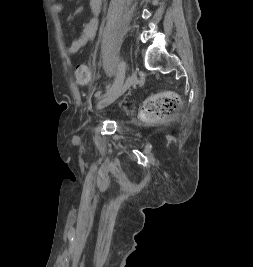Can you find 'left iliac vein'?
I'll return each mask as SVG.
<instances>
[{
    "instance_id": "4c4485c4",
    "label": "left iliac vein",
    "mask_w": 253,
    "mask_h": 267,
    "mask_svg": "<svg viewBox=\"0 0 253 267\" xmlns=\"http://www.w3.org/2000/svg\"><path fill=\"white\" fill-rule=\"evenodd\" d=\"M136 83H137V79H136L135 75L133 74V75L129 76L126 79L124 85H122L118 89H114L109 95H107L105 97V99L100 103L99 108H102L104 106L111 104L113 101H115V99L117 97L122 95L127 89H129L132 85H134Z\"/></svg>"
}]
</instances>
